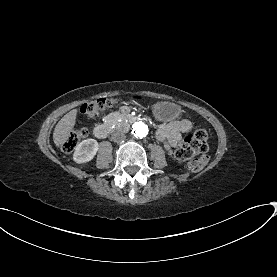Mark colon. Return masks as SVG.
<instances>
[{"instance_id":"obj_1","label":"colon","mask_w":277,"mask_h":277,"mask_svg":"<svg viewBox=\"0 0 277 277\" xmlns=\"http://www.w3.org/2000/svg\"><path fill=\"white\" fill-rule=\"evenodd\" d=\"M135 101H139L138 97H130ZM120 98L116 97H97L87 101L83 104L81 110L90 117H95L105 113L108 109L114 107ZM88 130L85 128L79 131L71 132L64 140L62 149L65 152H70L74 149L77 143L86 138ZM208 134L206 130L200 129L191 133L184 139L176 150V157L179 160L187 161V167L192 173L200 172L208 163L209 156L206 155L208 151ZM202 153L201 158L194 157L195 154Z\"/></svg>"}]
</instances>
